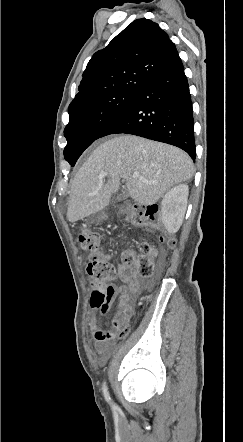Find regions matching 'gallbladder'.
Masks as SVG:
<instances>
[{
  "label": "gallbladder",
  "instance_id": "gallbladder-1",
  "mask_svg": "<svg viewBox=\"0 0 243 442\" xmlns=\"http://www.w3.org/2000/svg\"><path fill=\"white\" fill-rule=\"evenodd\" d=\"M127 196H128V193H127L126 188L122 187V193L114 196V199H116V200H124V199L127 198Z\"/></svg>",
  "mask_w": 243,
  "mask_h": 442
}]
</instances>
